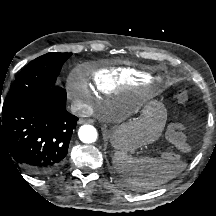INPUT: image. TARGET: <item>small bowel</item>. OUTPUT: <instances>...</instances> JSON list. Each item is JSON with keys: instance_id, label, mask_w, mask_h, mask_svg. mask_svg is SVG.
Here are the masks:
<instances>
[{"instance_id": "obj_1", "label": "small bowel", "mask_w": 216, "mask_h": 216, "mask_svg": "<svg viewBox=\"0 0 216 216\" xmlns=\"http://www.w3.org/2000/svg\"><path fill=\"white\" fill-rule=\"evenodd\" d=\"M169 142L179 151L187 153L190 146L186 141L184 128L179 123H173L168 129Z\"/></svg>"}]
</instances>
